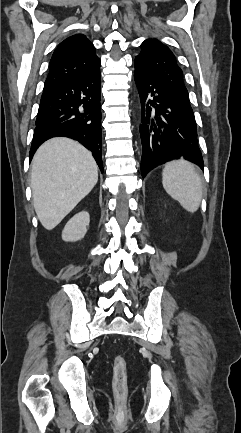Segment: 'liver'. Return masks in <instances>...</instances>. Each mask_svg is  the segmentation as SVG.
<instances>
[{
	"label": "liver",
	"instance_id": "6515ba94",
	"mask_svg": "<svg viewBox=\"0 0 241 433\" xmlns=\"http://www.w3.org/2000/svg\"><path fill=\"white\" fill-rule=\"evenodd\" d=\"M97 181V164L80 143L59 137L42 144L31 163L33 205L42 226L55 228Z\"/></svg>",
	"mask_w": 241,
	"mask_h": 433
}]
</instances>
